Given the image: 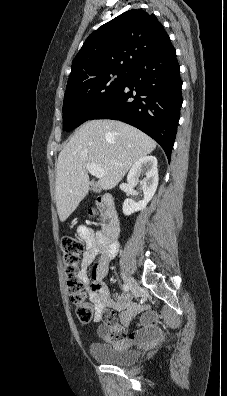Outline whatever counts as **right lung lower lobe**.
Instances as JSON below:
<instances>
[{"label":"right lung lower lobe","mask_w":227,"mask_h":396,"mask_svg":"<svg viewBox=\"0 0 227 396\" xmlns=\"http://www.w3.org/2000/svg\"><path fill=\"white\" fill-rule=\"evenodd\" d=\"M171 42L142 58L122 88L89 120L113 119L148 134L170 160L182 105V80Z\"/></svg>","instance_id":"98d812e1"}]
</instances>
